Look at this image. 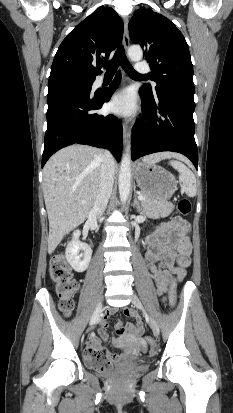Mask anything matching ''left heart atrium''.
<instances>
[{
  "label": "left heart atrium",
  "instance_id": "left-heart-atrium-1",
  "mask_svg": "<svg viewBox=\"0 0 233 413\" xmlns=\"http://www.w3.org/2000/svg\"><path fill=\"white\" fill-rule=\"evenodd\" d=\"M109 109L122 116L135 114L137 106L134 93L130 89H124L114 93L108 103Z\"/></svg>",
  "mask_w": 233,
  "mask_h": 413
}]
</instances>
